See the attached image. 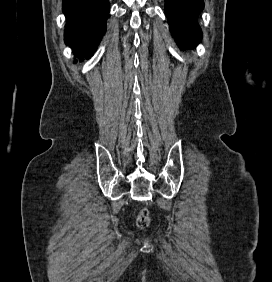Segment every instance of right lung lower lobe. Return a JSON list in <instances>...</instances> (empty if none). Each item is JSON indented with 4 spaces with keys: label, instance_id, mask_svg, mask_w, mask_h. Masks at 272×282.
<instances>
[{
    "label": "right lung lower lobe",
    "instance_id": "98d812e1",
    "mask_svg": "<svg viewBox=\"0 0 272 282\" xmlns=\"http://www.w3.org/2000/svg\"><path fill=\"white\" fill-rule=\"evenodd\" d=\"M62 7L67 18L65 42L78 58H90L106 30L108 0H63Z\"/></svg>",
    "mask_w": 272,
    "mask_h": 282
}]
</instances>
